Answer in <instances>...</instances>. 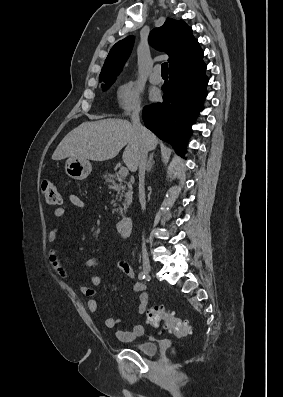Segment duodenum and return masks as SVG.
<instances>
[{"label": "duodenum", "mask_w": 283, "mask_h": 397, "mask_svg": "<svg viewBox=\"0 0 283 397\" xmlns=\"http://www.w3.org/2000/svg\"><path fill=\"white\" fill-rule=\"evenodd\" d=\"M118 233L123 236H129L132 230V218L129 215L123 216L116 224Z\"/></svg>", "instance_id": "obj_1"}]
</instances>
